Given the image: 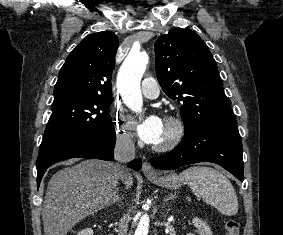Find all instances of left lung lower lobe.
<instances>
[{
	"label": "left lung lower lobe",
	"instance_id": "0a47b994",
	"mask_svg": "<svg viewBox=\"0 0 283 235\" xmlns=\"http://www.w3.org/2000/svg\"><path fill=\"white\" fill-rule=\"evenodd\" d=\"M243 149L236 123L202 128L185 134L182 141L169 153L151 158L157 169H176L198 162L221 165L237 179L243 180Z\"/></svg>",
	"mask_w": 283,
	"mask_h": 235
}]
</instances>
